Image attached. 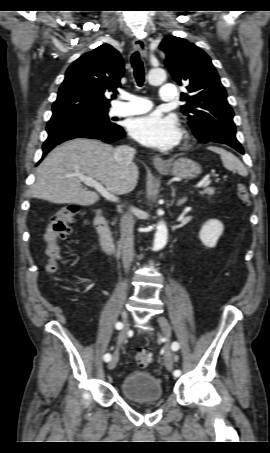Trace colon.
<instances>
[{
	"label": "colon",
	"mask_w": 270,
	"mask_h": 453,
	"mask_svg": "<svg viewBox=\"0 0 270 453\" xmlns=\"http://www.w3.org/2000/svg\"><path fill=\"white\" fill-rule=\"evenodd\" d=\"M236 189L241 203L244 206H249L250 194L247 187L242 183H238ZM78 212V205L68 204L60 208L50 219L44 235L46 242L45 253L48 258L46 269L50 274H55L64 260L62 242L70 234L71 225L76 221ZM135 359L137 364L144 368L152 362V355L146 350H140L136 353Z\"/></svg>",
	"instance_id": "colon-1"
}]
</instances>
